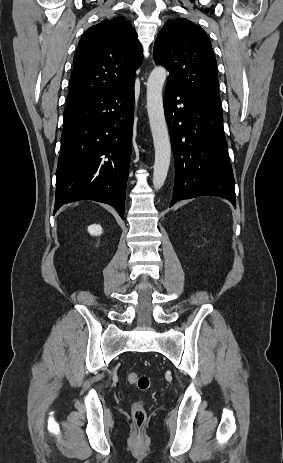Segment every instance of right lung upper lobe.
<instances>
[{"instance_id": "cb5924a9", "label": "right lung upper lobe", "mask_w": 283, "mask_h": 463, "mask_svg": "<svg viewBox=\"0 0 283 463\" xmlns=\"http://www.w3.org/2000/svg\"><path fill=\"white\" fill-rule=\"evenodd\" d=\"M142 60L137 33L125 17L105 19L90 27L74 56L67 106L134 82Z\"/></svg>"}]
</instances>
